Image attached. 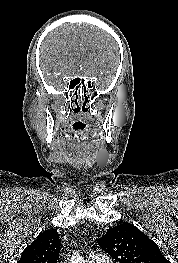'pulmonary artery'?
I'll use <instances>...</instances> for the list:
<instances>
[{
    "instance_id": "1",
    "label": "pulmonary artery",
    "mask_w": 178,
    "mask_h": 263,
    "mask_svg": "<svg viewBox=\"0 0 178 263\" xmlns=\"http://www.w3.org/2000/svg\"><path fill=\"white\" fill-rule=\"evenodd\" d=\"M88 263H110V261L105 254L92 251L88 254Z\"/></svg>"
}]
</instances>
